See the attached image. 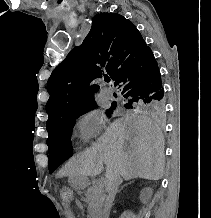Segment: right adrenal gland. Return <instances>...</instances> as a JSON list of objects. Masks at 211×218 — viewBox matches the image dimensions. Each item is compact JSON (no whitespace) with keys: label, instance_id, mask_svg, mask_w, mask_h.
I'll return each mask as SVG.
<instances>
[{"label":"right adrenal gland","instance_id":"obj_1","mask_svg":"<svg viewBox=\"0 0 211 218\" xmlns=\"http://www.w3.org/2000/svg\"><path fill=\"white\" fill-rule=\"evenodd\" d=\"M124 186H127V184H124ZM124 186H121L120 190H117V192H121V190H123Z\"/></svg>","mask_w":211,"mask_h":218}]
</instances>
